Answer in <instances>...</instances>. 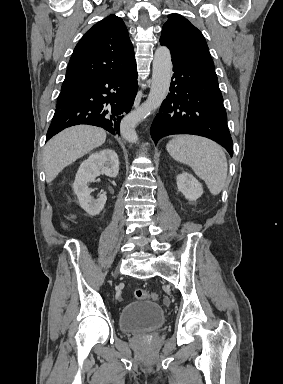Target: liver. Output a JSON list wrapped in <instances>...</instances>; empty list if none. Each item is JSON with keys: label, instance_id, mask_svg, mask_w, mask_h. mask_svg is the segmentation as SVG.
<instances>
[{"label": "liver", "instance_id": "6515ba94", "mask_svg": "<svg viewBox=\"0 0 283 384\" xmlns=\"http://www.w3.org/2000/svg\"><path fill=\"white\" fill-rule=\"evenodd\" d=\"M105 140V130L94 126H73L54 136L47 142L43 156L47 184H50L63 168L70 166L94 148H99Z\"/></svg>", "mask_w": 283, "mask_h": 384}]
</instances>
